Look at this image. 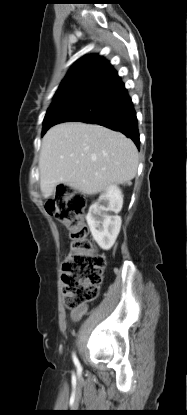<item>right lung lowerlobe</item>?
<instances>
[{"mask_svg": "<svg viewBox=\"0 0 187 415\" xmlns=\"http://www.w3.org/2000/svg\"><path fill=\"white\" fill-rule=\"evenodd\" d=\"M78 121L119 131L140 147L136 112L124 83L108 63L80 79L50 116L53 125Z\"/></svg>", "mask_w": 187, "mask_h": 415, "instance_id": "right-lung-lower-lobe-1", "label": "right lung lower lobe"}]
</instances>
